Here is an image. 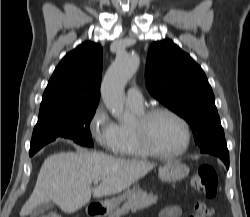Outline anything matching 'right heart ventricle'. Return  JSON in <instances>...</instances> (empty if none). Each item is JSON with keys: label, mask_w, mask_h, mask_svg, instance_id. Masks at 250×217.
Here are the masks:
<instances>
[{"label": "right heart ventricle", "mask_w": 250, "mask_h": 217, "mask_svg": "<svg viewBox=\"0 0 250 217\" xmlns=\"http://www.w3.org/2000/svg\"><path fill=\"white\" fill-rule=\"evenodd\" d=\"M133 111L140 115L142 108L132 107ZM118 155L129 158H142L149 156L139 145L134 133L133 125L118 124V145L115 151Z\"/></svg>", "instance_id": "e07e8e85"}]
</instances>
